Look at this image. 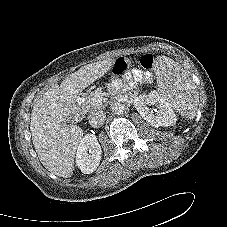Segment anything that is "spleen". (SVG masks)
<instances>
[{"label":"spleen","mask_w":227,"mask_h":227,"mask_svg":"<svg viewBox=\"0 0 227 227\" xmlns=\"http://www.w3.org/2000/svg\"><path fill=\"white\" fill-rule=\"evenodd\" d=\"M158 93L182 116L193 119L199 97L196 86L187 73L166 56L157 59L155 69Z\"/></svg>","instance_id":"spleen-1"}]
</instances>
